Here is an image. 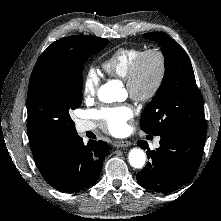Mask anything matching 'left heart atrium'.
<instances>
[{
    "mask_svg": "<svg viewBox=\"0 0 221 221\" xmlns=\"http://www.w3.org/2000/svg\"><path fill=\"white\" fill-rule=\"evenodd\" d=\"M94 116L109 133L120 135L127 130L134 109L129 105L102 107L94 111Z\"/></svg>",
    "mask_w": 221,
    "mask_h": 221,
    "instance_id": "39dd6f15",
    "label": "left heart atrium"
}]
</instances>
